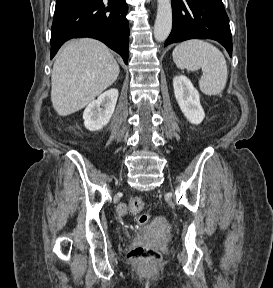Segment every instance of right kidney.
Masks as SVG:
<instances>
[{
  "mask_svg": "<svg viewBox=\"0 0 273 288\" xmlns=\"http://www.w3.org/2000/svg\"><path fill=\"white\" fill-rule=\"evenodd\" d=\"M118 90L109 89L101 94L97 100H93L83 113L84 125L90 131H97L106 126L116 106Z\"/></svg>",
  "mask_w": 273,
  "mask_h": 288,
  "instance_id": "ca27d5eb",
  "label": "right kidney"
}]
</instances>
